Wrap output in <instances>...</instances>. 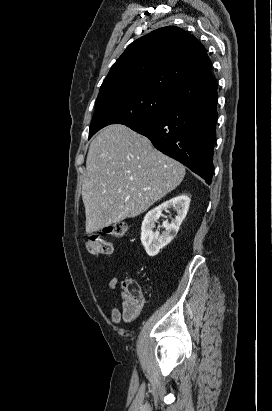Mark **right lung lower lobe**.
Instances as JSON below:
<instances>
[{
    "label": "right lung lower lobe",
    "mask_w": 272,
    "mask_h": 411,
    "mask_svg": "<svg viewBox=\"0 0 272 411\" xmlns=\"http://www.w3.org/2000/svg\"><path fill=\"white\" fill-rule=\"evenodd\" d=\"M217 97L216 89L128 127L149 138L158 150L183 163L210 184Z\"/></svg>",
    "instance_id": "obj_1"
}]
</instances>
